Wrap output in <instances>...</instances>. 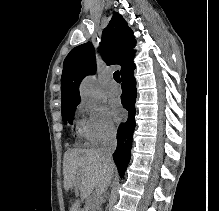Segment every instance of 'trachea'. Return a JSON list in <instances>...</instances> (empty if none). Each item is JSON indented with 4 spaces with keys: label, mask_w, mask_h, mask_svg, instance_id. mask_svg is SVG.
<instances>
[{
    "label": "trachea",
    "mask_w": 219,
    "mask_h": 211,
    "mask_svg": "<svg viewBox=\"0 0 219 211\" xmlns=\"http://www.w3.org/2000/svg\"><path fill=\"white\" fill-rule=\"evenodd\" d=\"M113 78H114V80H115L117 83H121V78H120V75H119V71H115V72H114Z\"/></svg>",
    "instance_id": "obj_1"
}]
</instances>
